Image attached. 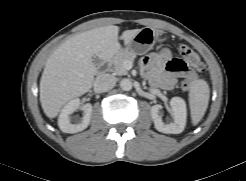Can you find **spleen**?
I'll return each instance as SVG.
<instances>
[{
	"mask_svg": "<svg viewBox=\"0 0 246 181\" xmlns=\"http://www.w3.org/2000/svg\"><path fill=\"white\" fill-rule=\"evenodd\" d=\"M210 88L204 79H196L189 90V107L193 125H197L203 118L209 103Z\"/></svg>",
	"mask_w": 246,
	"mask_h": 181,
	"instance_id": "spleen-1",
	"label": "spleen"
}]
</instances>
